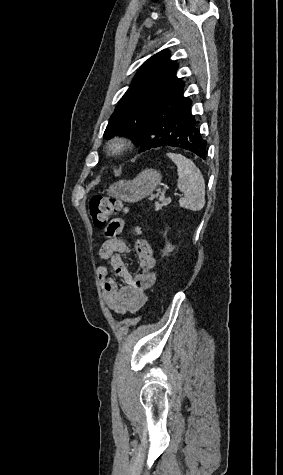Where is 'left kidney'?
<instances>
[{"label": "left kidney", "instance_id": "1", "mask_svg": "<svg viewBox=\"0 0 283 475\" xmlns=\"http://www.w3.org/2000/svg\"><path fill=\"white\" fill-rule=\"evenodd\" d=\"M173 249H174V245H172V243H168L167 241L166 247L163 251L164 255H169V251H173Z\"/></svg>", "mask_w": 283, "mask_h": 475}]
</instances>
